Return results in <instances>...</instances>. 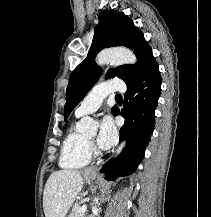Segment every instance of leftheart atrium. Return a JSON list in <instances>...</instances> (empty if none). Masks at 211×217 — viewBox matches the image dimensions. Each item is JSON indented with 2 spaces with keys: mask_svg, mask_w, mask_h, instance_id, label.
<instances>
[{
  "mask_svg": "<svg viewBox=\"0 0 211 217\" xmlns=\"http://www.w3.org/2000/svg\"><path fill=\"white\" fill-rule=\"evenodd\" d=\"M116 140V128L109 116L101 120L99 132L97 135V145L101 149H109Z\"/></svg>",
  "mask_w": 211,
  "mask_h": 217,
  "instance_id": "left-heart-atrium-1",
  "label": "left heart atrium"
}]
</instances>
